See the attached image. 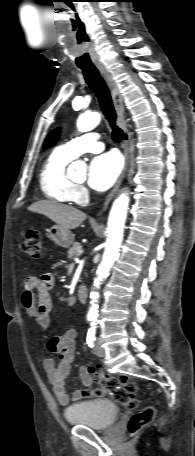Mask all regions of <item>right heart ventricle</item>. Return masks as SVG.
I'll return each instance as SVG.
<instances>
[{
  "instance_id": "e07e8e85",
  "label": "right heart ventricle",
  "mask_w": 195,
  "mask_h": 456,
  "mask_svg": "<svg viewBox=\"0 0 195 456\" xmlns=\"http://www.w3.org/2000/svg\"><path fill=\"white\" fill-rule=\"evenodd\" d=\"M72 159L60 148H56L43 164L39 183L48 199L62 203L75 201V184L66 174V167Z\"/></svg>"
}]
</instances>
